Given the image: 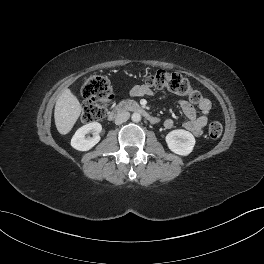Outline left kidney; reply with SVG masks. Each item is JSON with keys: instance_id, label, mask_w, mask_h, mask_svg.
<instances>
[{"instance_id": "obj_1", "label": "left kidney", "mask_w": 264, "mask_h": 264, "mask_svg": "<svg viewBox=\"0 0 264 264\" xmlns=\"http://www.w3.org/2000/svg\"><path fill=\"white\" fill-rule=\"evenodd\" d=\"M166 143L175 154L186 156L192 152L195 138L190 132L178 129L167 134Z\"/></svg>"}]
</instances>
